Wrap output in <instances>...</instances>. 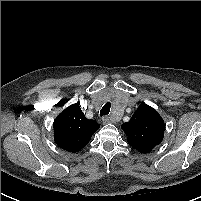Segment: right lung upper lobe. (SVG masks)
<instances>
[{
    "instance_id": "cb5924a9",
    "label": "right lung upper lobe",
    "mask_w": 201,
    "mask_h": 201,
    "mask_svg": "<svg viewBox=\"0 0 201 201\" xmlns=\"http://www.w3.org/2000/svg\"><path fill=\"white\" fill-rule=\"evenodd\" d=\"M100 125L84 116L78 104L67 107L54 121L56 144L70 152H78L90 141Z\"/></svg>"
}]
</instances>
